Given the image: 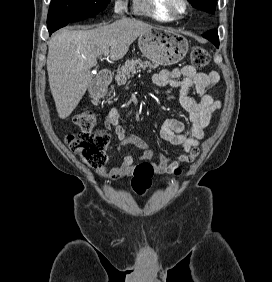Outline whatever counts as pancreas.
<instances>
[{"label": "pancreas", "mask_w": 272, "mask_h": 282, "mask_svg": "<svg viewBox=\"0 0 272 282\" xmlns=\"http://www.w3.org/2000/svg\"><path fill=\"white\" fill-rule=\"evenodd\" d=\"M155 69L157 68L156 64H152L148 60H141L140 58H133L131 60H127L125 64L117 71L115 76V80L118 85H124L127 80L131 77V75L140 72L141 70L146 69Z\"/></svg>", "instance_id": "obj_1"}]
</instances>
